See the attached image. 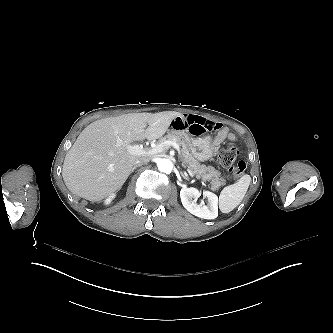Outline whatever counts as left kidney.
Returning a JSON list of instances; mask_svg holds the SVG:
<instances>
[{
	"mask_svg": "<svg viewBox=\"0 0 333 333\" xmlns=\"http://www.w3.org/2000/svg\"><path fill=\"white\" fill-rule=\"evenodd\" d=\"M201 192L199 189L191 187H184L180 191L181 202L184 208L191 214L203 219H215L218 216V197L209 191H204L203 195L208 199V205H196L192 198L199 196Z\"/></svg>",
	"mask_w": 333,
	"mask_h": 333,
	"instance_id": "5707ae66",
	"label": "left kidney"
}]
</instances>
